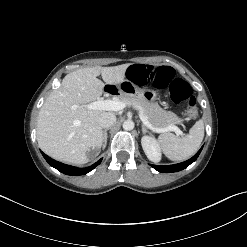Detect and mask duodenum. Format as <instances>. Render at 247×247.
I'll return each instance as SVG.
<instances>
[{
	"instance_id": "duodenum-1",
	"label": "duodenum",
	"mask_w": 247,
	"mask_h": 247,
	"mask_svg": "<svg viewBox=\"0 0 247 247\" xmlns=\"http://www.w3.org/2000/svg\"><path fill=\"white\" fill-rule=\"evenodd\" d=\"M105 92L114 94V93L117 92V88L114 87V86H108V87L105 88Z\"/></svg>"
}]
</instances>
